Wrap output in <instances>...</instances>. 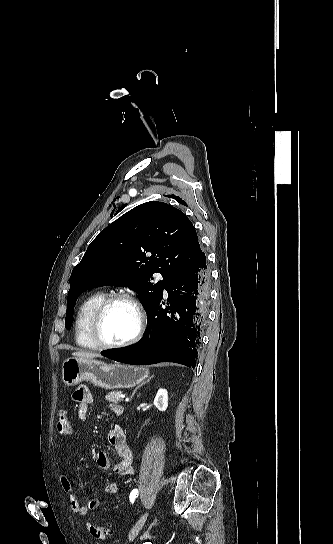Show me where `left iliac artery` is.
I'll return each instance as SVG.
<instances>
[{
  "instance_id": "left-iliac-artery-1",
  "label": "left iliac artery",
  "mask_w": 333,
  "mask_h": 544,
  "mask_svg": "<svg viewBox=\"0 0 333 544\" xmlns=\"http://www.w3.org/2000/svg\"><path fill=\"white\" fill-rule=\"evenodd\" d=\"M138 497V489L132 490L130 493V501L131 503H134L135 499Z\"/></svg>"
}]
</instances>
